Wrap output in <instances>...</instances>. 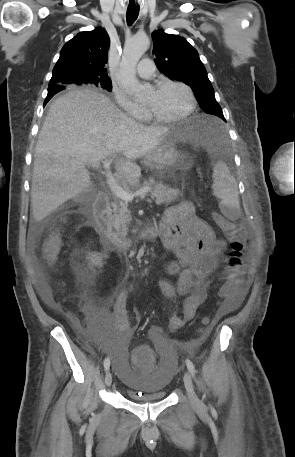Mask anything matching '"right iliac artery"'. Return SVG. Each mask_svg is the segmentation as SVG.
Masks as SVG:
<instances>
[{
    "instance_id": "1",
    "label": "right iliac artery",
    "mask_w": 295,
    "mask_h": 457,
    "mask_svg": "<svg viewBox=\"0 0 295 457\" xmlns=\"http://www.w3.org/2000/svg\"><path fill=\"white\" fill-rule=\"evenodd\" d=\"M110 367V359L109 358H105L104 360V368L105 370L107 371Z\"/></svg>"
}]
</instances>
